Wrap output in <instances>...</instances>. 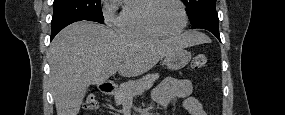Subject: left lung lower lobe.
<instances>
[{
  "label": "left lung lower lobe",
  "instance_id": "obj_1",
  "mask_svg": "<svg viewBox=\"0 0 285 115\" xmlns=\"http://www.w3.org/2000/svg\"><path fill=\"white\" fill-rule=\"evenodd\" d=\"M219 19L217 12L207 13L199 17L194 23H192V29L201 28L212 32L219 40ZM221 41V40H220Z\"/></svg>",
  "mask_w": 285,
  "mask_h": 115
}]
</instances>
